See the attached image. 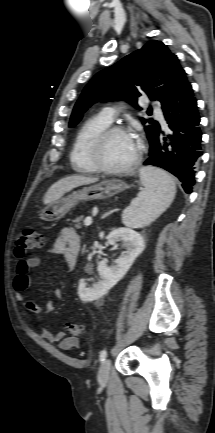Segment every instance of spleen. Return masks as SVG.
Wrapping results in <instances>:
<instances>
[{"label":"spleen","mask_w":215,"mask_h":433,"mask_svg":"<svg viewBox=\"0 0 215 433\" xmlns=\"http://www.w3.org/2000/svg\"><path fill=\"white\" fill-rule=\"evenodd\" d=\"M140 181L144 190L122 214L123 224L132 228H142L153 222L170 206L176 194L172 177L162 169L141 168Z\"/></svg>","instance_id":"spleen-1"}]
</instances>
